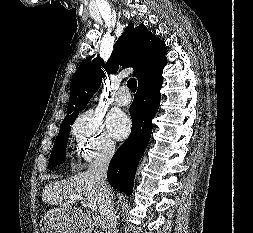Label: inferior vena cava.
Returning <instances> with one entry per match:
<instances>
[{
  "label": "inferior vena cava",
  "mask_w": 253,
  "mask_h": 233,
  "mask_svg": "<svg viewBox=\"0 0 253 233\" xmlns=\"http://www.w3.org/2000/svg\"><path fill=\"white\" fill-rule=\"evenodd\" d=\"M114 152V142H106L88 168V172L94 176L99 185V212L107 233H117L113 196L106 179L108 165Z\"/></svg>",
  "instance_id": "1"
}]
</instances>
